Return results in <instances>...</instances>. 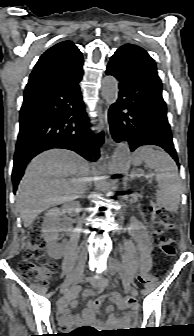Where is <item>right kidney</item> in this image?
<instances>
[{
  "mask_svg": "<svg viewBox=\"0 0 194 336\" xmlns=\"http://www.w3.org/2000/svg\"><path fill=\"white\" fill-rule=\"evenodd\" d=\"M79 205L78 202L68 201L60 208H52L47 211L42 225V235L47 243V250L53 257L61 256L62 244L59 241L61 231L60 216L62 212L71 213Z\"/></svg>",
  "mask_w": 194,
  "mask_h": 336,
  "instance_id": "obj_1",
  "label": "right kidney"
}]
</instances>
